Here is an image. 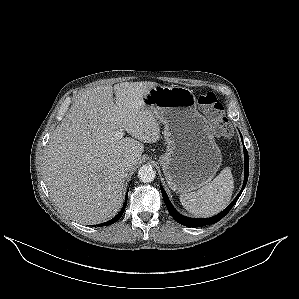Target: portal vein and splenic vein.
Returning <instances> with one entry per match:
<instances>
[{
    "label": "portal vein and splenic vein",
    "mask_w": 299,
    "mask_h": 299,
    "mask_svg": "<svg viewBox=\"0 0 299 299\" xmlns=\"http://www.w3.org/2000/svg\"><path fill=\"white\" fill-rule=\"evenodd\" d=\"M123 129H119L117 132H116V136L117 138H122L123 137Z\"/></svg>",
    "instance_id": "obj_1"
}]
</instances>
